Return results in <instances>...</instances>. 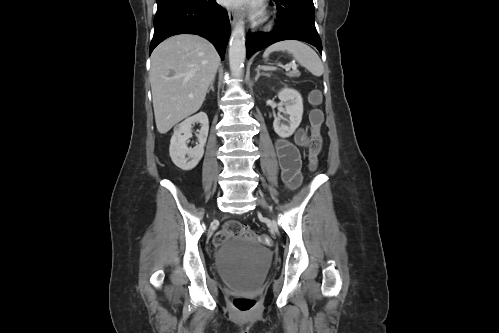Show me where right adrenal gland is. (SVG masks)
<instances>
[{"label":"right adrenal gland","instance_id":"obj_1","mask_svg":"<svg viewBox=\"0 0 499 333\" xmlns=\"http://www.w3.org/2000/svg\"><path fill=\"white\" fill-rule=\"evenodd\" d=\"M213 84H214V79H213V81L210 83V87H209V89L207 90V93H209V91H210V90L214 91V86H213Z\"/></svg>","mask_w":499,"mask_h":333}]
</instances>
